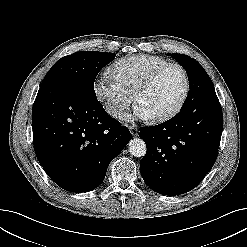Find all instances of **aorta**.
<instances>
[{
  "instance_id": "aorta-1",
  "label": "aorta",
  "mask_w": 247,
  "mask_h": 247,
  "mask_svg": "<svg viewBox=\"0 0 247 247\" xmlns=\"http://www.w3.org/2000/svg\"><path fill=\"white\" fill-rule=\"evenodd\" d=\"M129 152L135 157H143L146 154V144L140 138L132 139L128 144Z\"/></svg>"
}]
</instances>
